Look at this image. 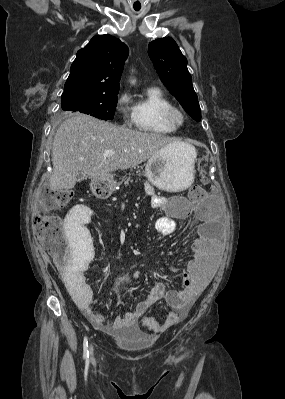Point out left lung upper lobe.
<instances>
[{
	"mask_svg": "<svg viewBox=\"0 0 285 399\" xmlns=\"http://www.w3.org/2000/svg\"><path fill=\"white\" fill-rule=\"evenodd\" d=\"M148 54L165 87L194 120L200 121V106L187 69V59L176 42L170 37L154 40L148 45Z\"/></svg>",
	"mask_w": 285,
	"mask_h": 399,
	"instance_id": "obj_1",
	"label": "left lung upper lobe"
}]
</instances>
